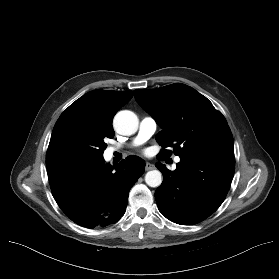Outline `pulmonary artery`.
Returning a JSON list of instances; mask_svg holds the SVG:
<instances>
[{
    "label": "pulmonary artery",
    "instance_id": "e3ab8cb5",
    "mask_svg": "<svg viewBox=\"0 0 279 279\" xmlns=\"http://www.w3.org/2000/svg\"><path fill=\"white\" fill-rule=\"evenodd\" d=\"M157 129V123L154 118L152 117H144L139 126V131L136 136V138L133 140V145H139L148 140L156 131ZM117 148L110 147L108 149V154L111 155L113 152H115ZM180 158L176 157L175 162H179Z\"/></svg>",
    "mask_w": 279,
    "mask_h": 279
}]
</instances>
